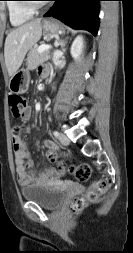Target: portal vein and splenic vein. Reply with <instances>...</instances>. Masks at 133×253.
<instances>
[{"instance_id": "1", "label": "portal vein and splenic vein", "mask_w": 133, "mask_h": 253, "mask_svg": "<svg viewBox=\"0 0 133 253\" xmlns=\"http://www.w3.org/2000/svg\"><path fill=\"white\" fill-rule=\"evenodd\" d=\"M51 49H52V46H51V45L43 44V45H40V46L38 47V52H39V53H42V52H44V51H49V50H51Z\"/></svg>"}]
</instances>
